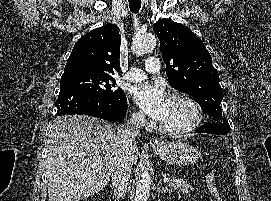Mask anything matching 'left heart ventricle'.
<instances>
[{"mask_svg": "<svg viewBox=\"0 0 271 201\" xmlns=\"http://www.w3.org/2000/svg\"><path fill=\"white\" fill-rule=\"evenodd\" d=\"M191 120L192 112L185 103L169 100L166 116L161 123L169 128H181L189 124Z\"/></svg>", "mask_w": 271, "mask_h": 201, "instance_id": "left-heart-ventricle-1", "label": "left heart ventricle"}]
</instances>
